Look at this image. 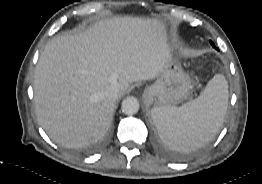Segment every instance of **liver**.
Masks as SVG:
<instances>
[{
  "label": "liver",
  "mask_w": 262,
  "mask_h": 184,
  "mask_svg": "<svg viewBox=\"0 0 262 184\" xmlns=\"http://www.w3.org/2000/svg\"><path fill=\"white\" fill-rule=\"evenodd\" d=\"M172 61L165 25L153 18L112 17L76 34L54 37L43 50L34 75L40 125L68 148L105 136L116 108L106 96L130 83L153 80Z\"/></svg>",
  "instance_id": "6515ba94"
}]
</instances>
